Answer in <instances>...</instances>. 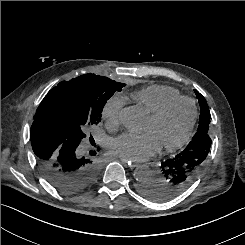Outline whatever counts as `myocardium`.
Wrapping results in <instances>:
<instances>
[{
  "mask_svg": "<svg viewBox=\"0 0 245 245\" xmlns=\"http://www.w3.org/2000/svg\"><path fill=\"white\" fill-rule=\"evenodd\" d=\"M183 101L190 103L192 106V117H191L189 126H188L185 134L182 136V138L180 140H178L176 143H174L172 145L162 146V147H160V150L172 152V151H175V150L182 148L190 140V138L193 134L197 119H198V114H199L198 113V106H197L196 100L194 98L188 97V96H180V97H176V98H173L171 100H168L163 105H161L157 110H155L149 114V118L151 120H158L161 117H163L172 106H174L175 104H177L179 102H183Z\"/></svg>",
  "mask_w": 245,
  "mask_h": 245,
  "instance_id": "1",
  "label": "myocardium"
}]
</instances>
